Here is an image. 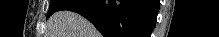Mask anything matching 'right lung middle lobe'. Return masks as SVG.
I'll return each instance as SVG.
<instances>
[{
  "label": "right lung middle lobe",
  "instance_id": "1",
  "mask_svg": "<svg viewBox=\"0 0 219 37\" xmlns=\"http://www.w3.org/2000/svg\"><path fill=\"white\" fill-rule=\"evenodd\" d=\"M68 1L66 0H53L50 4L49 11H48V17L51 16L53 13L59 11L62 5L67 3Z\"/></svg>",
  "mask_w": 219,
  "mask_h": 37
}]
</instances>
